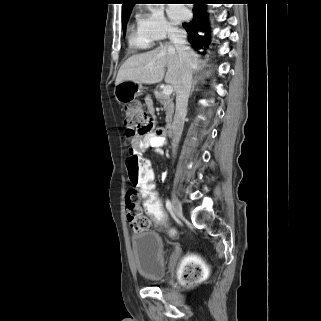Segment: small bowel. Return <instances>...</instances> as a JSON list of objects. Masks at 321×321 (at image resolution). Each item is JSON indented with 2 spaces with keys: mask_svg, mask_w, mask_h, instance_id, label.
<instances>
[{
  "mask_svg": "<svg viewBox=\"0 0 321 321\" xmlns=\"http://www.w3.org/2000/svg\"><path fill=\"white\" fill-rule=\"evenodd\" d=\"M146 102L149 105L151 104L149 99ZM127 136L129 137V152L135 154L143 153L148 149L159 152L161 147L165 144V132L162 128H157L155 131L146 133L142 136L128 134ZM151 172L153 173L152 170Z\"/></svg>",
  "mask_w": 321,
  "mask_h": 321,
  "instance_id": "obj_1",
  "label": "small bowel"
}]
</instances>
